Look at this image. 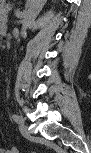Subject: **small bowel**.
Returning a JSON list of instances; mask_svg holds the SVG:
<instances>
[{"label": "small bowel", "instance_id": "small-bowel-1", "mask_svg": "<svg viewBox=\"0 0 91 153\" xmlns=\"http://www.w3.org/2000/svg\"><path fill=\"white\" fill-rule=\"evenodd\" d=\"M2 152L3 153H18V150L16 147L11 146L9 148L2 149Z\"/></svg>", "mask_w": 91, "mask_h": 153}]
</instances>
